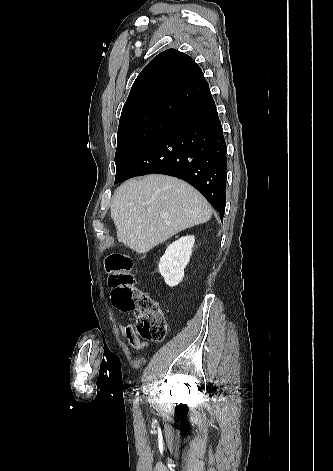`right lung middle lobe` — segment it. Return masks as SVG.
<instances>
[{"label": "right lung middle lobe", "mask_w": 333, "mask_h": 471, "mask_svg": "<svg viewBox=\"0 0 333 471\" xmlns=\"http://www.w3.org/2000/svg\"><path fill=\"white\" fill-rule=\"evenodd\" d=\"M174 119L175 117L155 113L131 115L120 119L115 154V181L123 175L143 149Z\"/></svg>", "instance_id": "1"}]
</instances>
